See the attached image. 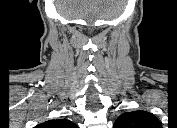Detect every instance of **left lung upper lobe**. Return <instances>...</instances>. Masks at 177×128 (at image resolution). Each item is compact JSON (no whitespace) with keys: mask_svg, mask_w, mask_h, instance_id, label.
Returning <instances> with one entry per match:
<instances>
[{"mask_svg":"<svg viewBox=\"0 0 177 128\" xmlns=\"http://www.w3.org/2000/svg\"><path fill=\"white\" fill-rule=\"evenodd\" d=\"M159 120L147 111L123 113L115 121L113 128H160Z\"/></svg>","mask_w":177,"mask_h":128,"instance_id":"1","label":"left lung upper lobe"}]
</instances>
